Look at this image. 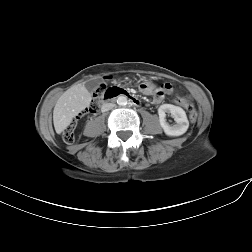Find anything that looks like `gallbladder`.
Here are the masks:
<instances>
[{
  "mask_svg": "<svg viewBox=\"0 0 252 252\" xmlns=\"http://www.w3.org/2000/svg\"><path fill=\"white\" fill-rule=\"evenodd\" d=\"M99 85V81L97 80H93V81H88L85 84V88L89 91V92H93Z\"/></svg>",
  "mask_w": 252,
  "mask_h": 252,
  "instance_id": "bac80fb5",
  "label": "gallbladder"
}]
</instances>
